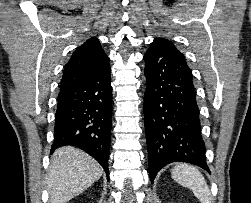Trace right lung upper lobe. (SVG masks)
<instances>
[{
  "label": "right lung upper lobe",
  "mask_w": 251,
  "mask_h": 203,
  "mask_svg": "<svg viewBox=\"0 0 251 203\" xmlns=\"http://www.w3.org/2000/svg\"><path fill=\"white\" fill-rule=\"evenodd\" d=\"M109 64L97 38L88 39L78 47L66 64L61 80L60 92L66 91L99 72Z\"/></svg>",
  "instance_id": "right-lung-upper-lobe-1"
}]
</instances>
